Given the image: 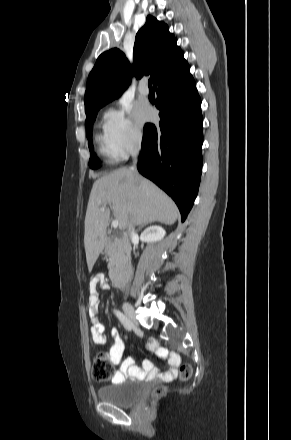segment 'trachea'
<instances>
[{"label":"trachea","instance_id":"trachea-1","mask_svg":"<svg viewBox=\"0 0 291 440\" xmlns=\"http://www.w3.org/2000/svg\"><path fill=\"white\" fill-rule=\"evenodd\" d=\"M148 86H149V88H152V80L151 79H149V81H148Z\"/></svg>","mask_w":291,"mask_h":440}]
</instances>
